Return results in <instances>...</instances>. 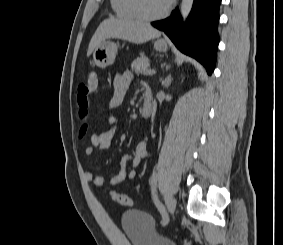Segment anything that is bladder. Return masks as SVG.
Returning a JSON list of instances; mask_svg holds the SVG:
<instances>
[{"label":"bladder","instance_id":"bladder-1","mask_svg":"<svg viewBox=\"0 0 283 245\" xmlns=\"http://www.w3.org/2000/svg\"><path fill=\"white\" fill-rule=\"evenodd\" d=\"M120 224L131 245H176L158 231L154 219L144 211L126 210Z\"/></svg>","mask_w":283,"mask_h":245}]
</instances>
